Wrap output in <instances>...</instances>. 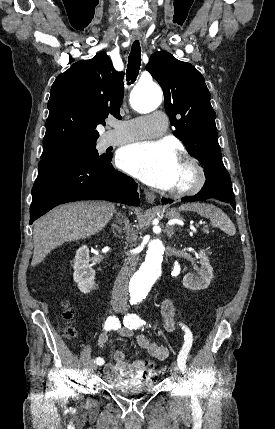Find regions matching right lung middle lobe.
I'll return each instance as SVG.
<instances>
[{
    "label": "right lung middle lobe",
    "mask_w": 275,
    "mask_h": 429,
    "mask_svg": "<svg viewBox=\"0 0 275 429\" xmlns=\"http://www.w3.org/2000/svg\"><path fill=\"white\" fill-rule=\"evenodd\" d=\"M96 143L82 144L69 147L58 153L41 157L38 168L39 173L48 169L64 166H90L109 160L112 155H99Z\"/></svg>",
    "instance_id": "obj_1"
}]
</instances>
